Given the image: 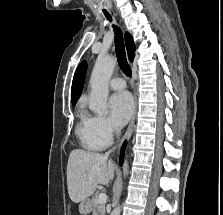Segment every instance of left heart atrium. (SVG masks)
I'll return each instance as SVG.
<instances>
[{
	"label": "left heart atrium",
	"mask_w": 223,
	"mask_h": 215,
	"mask_svg": "<svg viewBox=\"0 0 223 215\" xmlns=\"http://www.w3.org/2000/svg\"><path fill=\"white\" fill-rule=\"evenodd\" d=\"M109 106L113 122L118 126H122L132 115V96L128 92L115 93L109 99Z\"/></svg>",
	"instance_id": "left-heart-atrium-1"
}]
</instances>
